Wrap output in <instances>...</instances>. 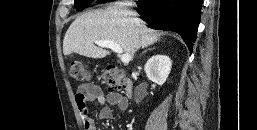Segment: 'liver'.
Masks as SVG:
<instances>
[{
    "label": "liver",
    "mask_w": 257,
    "mask_h": 130,
    "mask_svg": "<svg viewBox=\"0 0 257 130\" xmlns=\"http://www.w3.org/2000/svg\"><path fill=\"white\" fill-rule=\"evenodd\" d=\"M160 36L161 33L148 28L133 12L117 8L94 10L77 17L69 26L63 40V53L104 58L110 52L96 46L95 41L108 40L119 44L132 59L139 48L156 43Z\"/></svg>",
    "instance_id": "liver-1"
}]
</instances>
